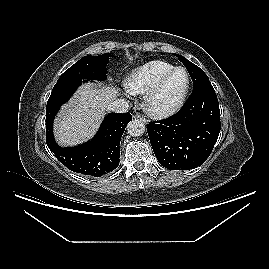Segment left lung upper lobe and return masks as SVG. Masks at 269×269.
Here are the masks:
<instances>
[{"label":"left lung upper lobe","instance_id":"obj_1","mask_svg":"<svg viewBox=\"0 0 269 269\" xmlns=\"http://www.w3.org/2000/svg\"><path fill=\"white\" fill-rule=\"evenodd\" d=\"M175 56L178 57V59L183 63V65L188 70V72L191 76V79L193 81L194 88L203 84V83L210 82L207 75L198 66H196L192 62L188 61L183 56H180L178 54H175Z\"/></svg>","mask_w":269,"mask_h":269}]
</instances>
